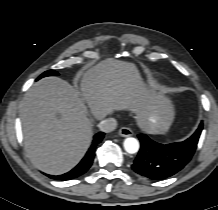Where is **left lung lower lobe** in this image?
I'll return each instance as SVG.
<instances>
[{"instance_id":"obj_1","label":"left lung lower lobe","mask_w":218,"mask_h":210,"mask_svg":"<svg viewBox=\"0 0 218 210\" xmlns=\"http://www.w3.org/2000/svg\"><path fill=\"white\" fill-rule=\"evenodd\" d=\"M203 129L199 125L197 131L187 140L172 144H159L145 134H139L140 151L132 164V169L145 177L161 180L180 171L191 159Z\"/></svg>"}]
</instances>
